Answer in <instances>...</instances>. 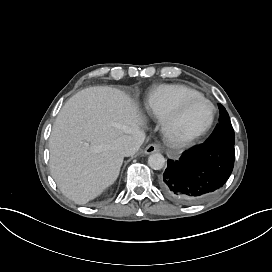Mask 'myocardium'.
I'll return each mask as SVG.
<instances>
[{"label":"myocardium","instance_id":"1","mask_svg":"<svg viewBox=\"0 0 272 272\" xmlns=\"http://www.w3.org/2000/svg\"><path fill=\"white\" fill-rule=\"evenodd\" d=\"M196 99H201L206 101L209 106H210V118L207 122V124L205 126H203L202 128H199L197 130H193V131H181L177 128V126L174 124L172 125V127L169 126V123L167 122V120H165L164 122V129L167 132H170L172 138L176 141H186V140H190V139H194L204 133H206L213 125L214 121H215V117H216V106L215 104L206 96H204L203 94H196L193 96H189V97H185L183 98L178 105L175 107L174 111H176L178 114L180 115L183 110L185 109V107L192 101L196 100Z\"/></svg>","mask_w":272,"mask_h":272}]
</instances>
